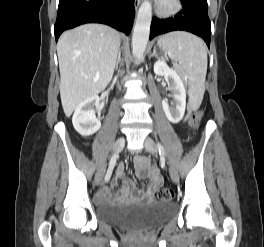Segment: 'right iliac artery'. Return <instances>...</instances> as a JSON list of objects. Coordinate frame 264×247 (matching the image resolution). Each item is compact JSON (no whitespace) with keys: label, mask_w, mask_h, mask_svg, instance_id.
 <instances>
[{"label":"right iliac artery","mask_w":264,"mask_h":247,"mask_svg":"<svg viewBox=\"0 0 264 247\" xmlns=\"http://www.w3.org/2000/svg\"><path fill=\"white\" fill-rule=\"evenodd\" d=\"M116 159H117V155H113L112 158H111V160H110L107 173L105 175V182H108L110 180V178H111L113 169H114L115 164H116Z\"/></svg>","instance_id":"1"}]
</instances>
